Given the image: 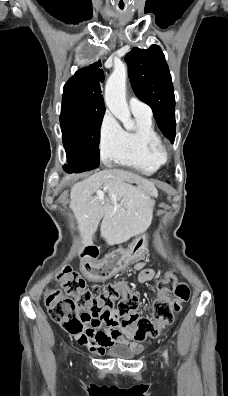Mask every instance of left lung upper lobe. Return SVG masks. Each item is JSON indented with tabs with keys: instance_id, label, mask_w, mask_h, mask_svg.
Listing matches in <instances>:
<instances>
[{
	"instance_id": "obj_1",
	"label": "left lung upper lobe",
	"mask_w": 228,
	"mask_h": 396,
	"mask_svg": "<svg viewBox=\"0 0 228 396\" xmlns=\"http://www.w3.org/2000/svg\"><path fill=\"white\" fill-rule=\"evenodd\" d=\"M136 96L148 104L162 133L175 139V96L171 75L161 48H133L125 57Z\"/></svg>"
}]
</instances>
